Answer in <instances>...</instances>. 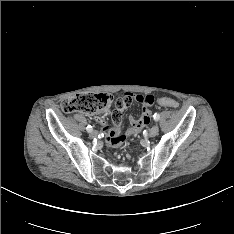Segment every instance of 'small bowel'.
<instances>
[{
	"label": "small bowel",
	"instance_id": "obj_1",
	"mask_svg": "<svg viewBox=\"0 0 234 234\" xmlns=\"http://www.w3.org/2000/svg\"><path fill=\"white\" fill-rule=\"evenodd\" d=\"M150 96V97H149ZM155 102V99L151 95H137L135 92H129L127 94L120 95L119 99L115 100V109L112 112V125L106 123L102 118L97 117V120L104 126L106 132L105 142L110 147H116L122 144L126 136L135 134L138 135L141 129L150 122L151 110L149 107ZM132 103H140L143 106V113L139 120H135L133 117H129V127L127 128L125 135H120L121 115L124 109L128 108Z\"/></svg>",
	"mask_w": 234,
	"mask_h": 234
}]
</instances>
